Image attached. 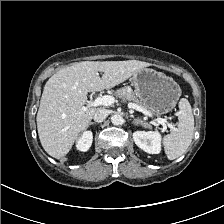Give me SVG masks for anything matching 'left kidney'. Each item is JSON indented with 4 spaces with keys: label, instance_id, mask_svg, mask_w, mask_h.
Masks as SVG:
<instances>
[{
    "label": "left kidney",
    "instance_id": "5707ae66",
    "mask_svg": "<svg viewBox=\"0 0 224 224\" xmlns=\"http://www.w3.org/2000/svg\"><path fill=\"white\" fill-rule=\"evenodd\" d=\"M135 144L149 154L161 151V134L157 131H136L133 133Z\"/></svg>",
    "mask_w": 224,
    "mask_h": 224
}]
</instances>
